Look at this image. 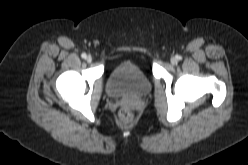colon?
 <instances>
[{"label": "colon", "mask_w": 248, "mask_h": 165, "mask_svg": "<svg viewBox=\"0 0 248 165\" xmlns=\"http://www.w3.org/2000/svg\"><path fill=\"white\" fill-rule=\"evenodd\" d=\"M120 118H121V120H123L125 122H130L133 118V114L130 110L123 109L120 112Z\"/></svg>", "instance_id": "colon-1"}]
</instances>
